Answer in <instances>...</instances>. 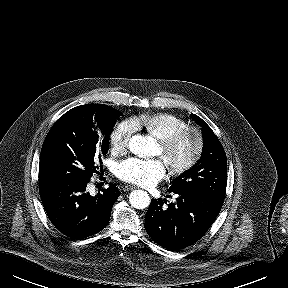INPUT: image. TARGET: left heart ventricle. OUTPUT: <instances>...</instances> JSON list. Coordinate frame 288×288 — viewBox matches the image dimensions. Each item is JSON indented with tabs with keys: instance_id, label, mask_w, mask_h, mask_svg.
<instances>
[{
	"instance_id": "left-heart-ventricle-1",
	"label": "left heart ventricle",
	"mask_w": 288,
	"mask_h": 288,
	"mask_svg": "<svg viewBox=\"0 0 288 288\" xmlns=\"http://www.w3.org/2000/svg\"><path fill=\"white\" fill-rule=\"evenodd\" d=\"M195 140L193 136H185L175 145L171 157L174 161H184L190 157L194 150ZM163 149L160 144L159 153L162 154Z\"/></svg>"
}]
</instances>
